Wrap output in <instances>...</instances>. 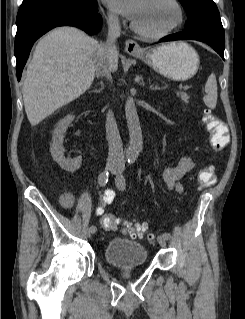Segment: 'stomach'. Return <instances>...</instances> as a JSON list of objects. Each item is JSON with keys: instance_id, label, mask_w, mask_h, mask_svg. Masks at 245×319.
Returning <instances> with one entry per match:
<instances>
[{"instance_id": "stomach-1", "label": "stomach", "mask_w": 245, "mask_h": 319, "mask_svg": "<svg viewBox=\"0 0 245 319\" xmlns=\"http://www.w3.org/2000/svg\"><path fill=\"white\" fill-rule=\"evenodd\" d=\"M160 74L176 81L193 77L199 68L196 50L185 42H171L136 54Z\"/></svg>"}]
</instances>
